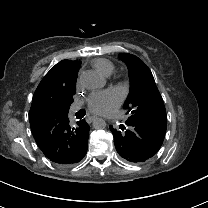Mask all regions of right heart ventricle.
<instances>
[{
  "instance_id": "right-heart-ventricle-1",
  "label": "right heart ventricle",
  "mask_w": 208,
  "mask_h": 208,
  "mask_svg": "<svg viewBox=\"0 0 208 208\" xmlns=\"http://www.w3.org/2000/svg\"><path fill=\"white\" fill-rule=\"evenodd\" d=\"M93 67L107 78L111 77L115 72L113 63L104 58L94 60Z\"/></svg>"
}]
</instances>
